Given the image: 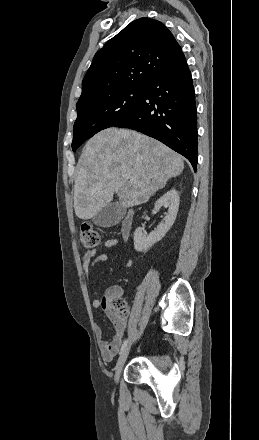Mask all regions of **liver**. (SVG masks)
Returning <instances> with one entry per match:
<instances>
[{
    "instance_id": "1",
    "label": "liver",
    "mask_w": 259,
    "mask_h": 440,
    "mask_svg": "<svg viewBox=\"0 0 259 440\" xmlns=\"http://www.w3.org/2000/svg\"><path fill=\"white\" fill-rule=\"evenodd\" d=\"M183 169L182 157L160 141L128 129H105L86 143L79 159L75 214L94 217L115 193L124 208L146 203Z\"/></svg>"
}]
</instances>
